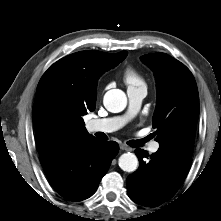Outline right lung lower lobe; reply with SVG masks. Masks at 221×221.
<instances>
[{
    "mask_svg": "<svg viewBox=\"0 0 221 221\" xmlns=\"http://www.w3.org/2000/svg\"><path fill=\"white\" fill-rule=\"evenodd\" d=\"M118 150V143L92 137L41 155L40 162L62 197L81 201L95 193Z\"/></svg>",
    "mask_w": 221,
    "mask_h": 221,
    "instance_id": "98d812e1",
    "label": "right lung lower lobe"
}]
</instances>
